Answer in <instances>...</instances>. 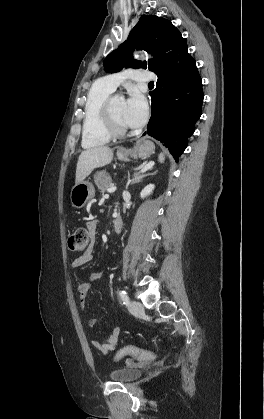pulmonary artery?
<instances>
[{
	"instance_id": "1",
	"label": "pulmonary artery",
	"mask_w": 264,
	"mask_h": 419,
	"mask_svg": "<svg viewBox=\"0 0 264 419\" xmlns=\"http://www.w3.org/2000/svg\"><path fill=\"white\" fill-rule=\"evenodd\" d=\"M126 78L140 82H149L155 79V75L147 70L128 69L122 72L109 74L103 77L101 81L111 90H115Z\"/></svg>"
}]
</instances>
